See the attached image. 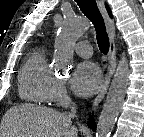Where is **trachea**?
Listing matches in <instances>:
<instances>
[{"instance_id":"3493384b","label":"trachea","mask_w":144,"mask_h":137,"mask_svg":"<svg viewBox=\"0 0 144 137\" xmlns=\"http://www.w3.org/2000/svg\"><path fill=\"white\" fill-rule=\"evenodd\" d=\"M81 11L92 21L96 29V39L100 51L107 54L109 50V39L105 30V24L101 13L98 10L95 0H75Z\"/></svg>"}]
</instances>
